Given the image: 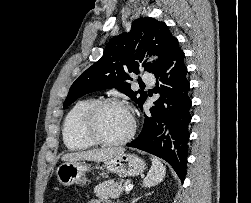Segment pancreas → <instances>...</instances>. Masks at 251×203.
<instances>
[{"instance_id": "1", "label": "pancreas", "mask_w": 251, "mask_h": 203, "mask_svg": "<svg viewBox=\"0 0 251 203\" xmlns=\"http://www.w3.org/2000/svg\"><path fill=\"white\" fill-rule=\"evenodd\" d=\"M130 183V180H127L124 185L116 182L115 180H107L98 184L94 188V193L96 197L101 200H108L110 198H118L119 195L124 190V187Z\"/></svg>"}]
</instances>
